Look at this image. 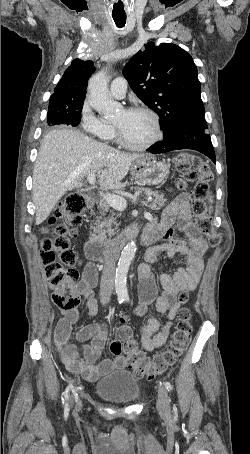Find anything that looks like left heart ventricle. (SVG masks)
<instances>
[{
	"label": "left heart ventricle",
	"instance_id": "1",
	"mask_svg": "<svg viewBox=\"0 0 250 454\" xmlns=\"http://www.w3.org/2000/svg\"><path fill=\"white\" fill-rule=\"evenodd\" d=\"M125 138L132 144L141 145L148 142L155 134L152 118L144 112H127L121 110L114 120Z\"/></svg>",
	"mask_w": 250,
	"mask_h": 454
}]
</instances>
